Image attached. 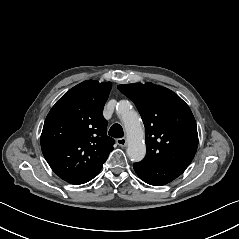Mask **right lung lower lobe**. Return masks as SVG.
<instances>
[{"mask_svg": "<svg viewBox=\"0 0 239 239\" xmlns=\"http://www.w3.org/2000/svg\"><path fill=\"white\" fill-rule=\"evenodd\" d=\"M99 173V172H98ZM97 173V174H98ZM96 174V175H97ZM96 175L90 176V177H70V176H64V177H60L61 179L65 180L68 183L71 184H83L86 183L88 181H90L91 179H93Z\"/></svg>", "mask_w": 239, "mask_h": 239, "instance_id": "98d812e1", "label": "right lung lower lobe"}]
</instances>
